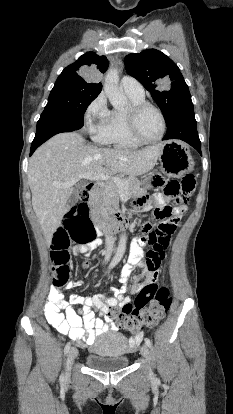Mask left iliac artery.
Returning <instances> with one entry per match:
<instances>
[{"label":"left iliac artery","instance_id":"44dca946","mask_svg":"<svg viewBox=\"0 0 233 414\" xmlns=\"http://www.w3.org/2000/svg\"><path fill=\"white\" fill-rule=\"evenodd\" d=\"M145 343L148 347H151V345H152L149 338H145Z\"/></svg>","mask_w":233,"mask_h":414}]
</instances>
